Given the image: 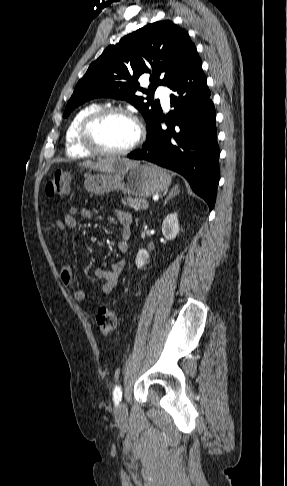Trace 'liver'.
<instances>
[{
	"mask_svg": "<svg viewBox=\"0 0 287 486\" xmlns=\"http://www.w3.org/2000/svg\"><path fill=\"white\" fill-rule=\"evenodd\" d=\"M138 163L137 161H132L127 158H110V159H104L99 162H92V161H87V162H82L78 163L79 166L88 168L91 170L103 172V173H114L118 170H121L124 165H131Z\"/></svg>",
	"mask_w": 287,
	"mask_h": 486,
	"instance_id": "1",
	"label": "liver"
}]
</instances>
